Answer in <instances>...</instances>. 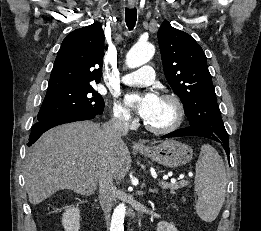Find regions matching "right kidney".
<instances>
[{
	"instance_id": "obj_1",
	"label": "right kidney",
	"mask_w": 261,
	"mask_h": 231,
	"mask_svg": "<svg viewBox=\"0 0 261 231\" xmlns=\"http://www.w3.org/2000/svg\"><path fill=\"white\" fill-rule=\"evenodd\" d=\"M62 225L65 231H79L80 229V210L78 207L66 208L63 217Z\"/></svg>"
}]
</instances>
